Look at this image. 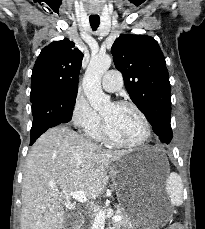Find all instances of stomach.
Returning <instances> with one entry per match:
<instances>
[{
  "mask_svg": "<svg viewBox=\"0 0 205 229\" xmlns=\"http://www.w3.org/2000/svg\"><path fill=\"white\" fill-rule=\"evenodd\" d=\"M152 151L150 147H142L130 152L111 169L123 212L132 229H160L170 218L169 211L161 203L148 202L140 194L145 173L143 164Z\"/></svg>",
  "mask_w": 205,
  "mask_h": 229,
  "instance_id": "1",
  "label": "stomach"
}]
</instances>
